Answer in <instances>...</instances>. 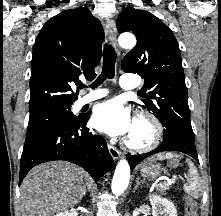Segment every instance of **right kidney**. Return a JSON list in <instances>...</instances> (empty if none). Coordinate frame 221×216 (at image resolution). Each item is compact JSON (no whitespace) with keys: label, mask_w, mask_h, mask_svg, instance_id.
Returning <instances> with one entry per match:
<instances>
[{"label":"right kidney","mask_w":221,"mask_h":216,"mask_svg":"<svg viewBox=\"0 0 221 216\" xmlns=\"http://www.w3.org/2000/svg\"><path fill=\"white\" fill-rule=\"evenodd\" d=\"M54 216H78V214H77L76 210L72 209L70 211H64L61 213H57Z\"/></svg>","instance_id":"1"}]
</instances>
